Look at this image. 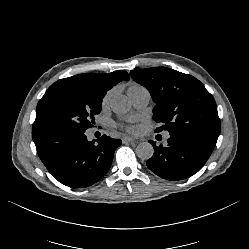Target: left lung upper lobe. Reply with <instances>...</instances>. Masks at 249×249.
<instances>
[{
	"mask_svg": "<svg viewBox=\"0 0 249 249\" xmlns=\"http://www.w3.org/2000/svg\"><path fill=\"white\" fill-rule=\"evenodd\" d=\"M130 75L156 103L153 119L162 125L157 132L193 129L220 134L216 102L193 76L166 67L131 70Z\"/></svg>",
	"mask_w": 249,
	"mask_h": 249,
	"instance_id": "left-lung-upper-lobe-1",
	"label": "left lung upper lobe"
}]
</instances>
